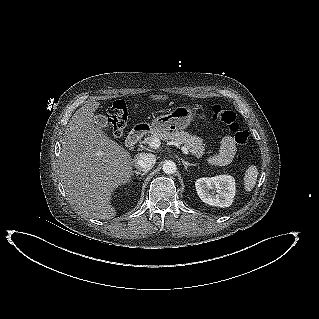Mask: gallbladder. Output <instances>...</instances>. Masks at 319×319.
<instances>
[{"label":"gallbladder","instance_id":"bac80fb5","mask_svg":"<svg viewBox=\"0 0 319 319\" xmlns=\"http://www.w3.org/2000/svg\"><path fill=\"white\" fill-rule=\"evenodd\" d=\"M94 121H95L96 125H98L101 128L109 127L108 120H107L106 116H104V115H101V114L96 115L94 118Z\"/></svg>","mask_w":319,"mask_h":319}]
</instances>
